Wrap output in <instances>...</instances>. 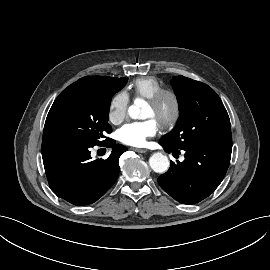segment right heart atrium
Instances as JSON below:
<instances>
[{"mask_svg":"<svg viewBox=\"0 0 270 270\" xmlns=\"http://www.w3.org/2000/svg\"><path fill=\"white\" fill-rule=\"evenodd\" d=\"M129 96L125 91H118L108 105V120L112 124H120L127 116Z\"/></svg>","mask_w":270,"mask_h":270,"instance_id":"1","label":"right heart atrium"}]
</instances>
